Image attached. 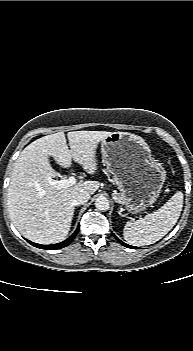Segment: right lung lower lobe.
Listing matches in <instances>:
<instances>
[{"instance_id": "1", "label": "right lung lower lobe", "mask_w": 193, "mask_h": 351, "mask_svg": "<svg viewBox=\"0 0 193 351\" xmlns=\"http://www.w3.org/2000/svg\"><path fill=\"white\" fill-rule=\"evenodd\" d=\"M79 231V226L77 227L76 231L65 241L59 243V244H53V245H41V244H36V243H33L31 241H28L31 245L37 247V248H41V249H50V250H53V249H60V248H64L66 246H68L72 240L75 238V236L77 235Z\"/></svg>"}]
</instances>
